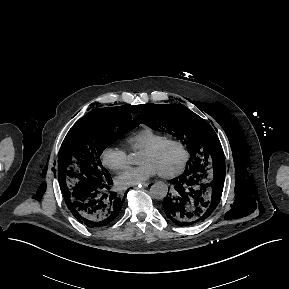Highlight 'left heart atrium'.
<instances>
[{
  "label": "left heart atrium",
  "mask_w": 289,
  "mask_h": 289,
  "mask_svg": "<svg viewBox=\"0 0 289 289\" xmlns=\"http://www.w3.org/2000/svg\"><path fill=\"white\" fill-rule=\"evenodd\" d=\"M157 173H159L157 168L152 164H141L140 166L128 168L120 173L116 177V184L120 188L141 185Z\"/></svg>",
  "instance_id": "obj_1"
}]
</instances>
